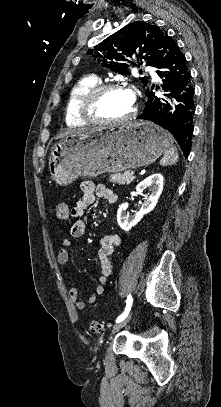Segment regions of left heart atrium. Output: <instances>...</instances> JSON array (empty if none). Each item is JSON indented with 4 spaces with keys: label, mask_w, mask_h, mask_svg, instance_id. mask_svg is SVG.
I'll return each instance as SVG.
<instances>
[{
    "label": "left heart atrium",
    "mask_w": 221,
    "mask_h": 407,
    "mask_svg": "<svg viewBox=\"0 0 221 407\" xmlns=\"http://www.w3.org/2000/svg\"><path fill=\"white\" fill-rule=\"evenodd\" d=\"M128 93H129V95L131 96V98L134 100V98H135V96H134V93H133V91L132 90H126Z\"/></svg>",
    "instance_id": "39dd6f15"
}]
</instances>
